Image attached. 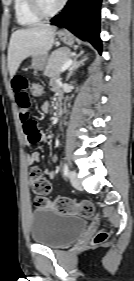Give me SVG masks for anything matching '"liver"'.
<instances>
[{
	"label": "liver",
	"instance_id": "1",
	"mask_svg": "<svg viewBox=\"0 0 134 281\" xmlns=\"http://www.w3.org/2000/svg\"><path fill=\"white\" fill-rule=\"evenodd\" d=\"M57 27L38 24L12 33L8 47V69L13 77L29 56L47 55L54 43Z\"/></svg>",
	"mask_w": 134,
	"mask_h": 281
}]
</instances>
